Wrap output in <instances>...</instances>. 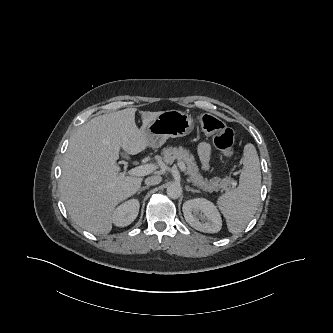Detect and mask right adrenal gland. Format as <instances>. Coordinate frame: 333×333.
Returning a JSON list of instances; mask_svg holds the SVG:
<instances>
[{
  "mask_svg": "<svg viewBox=\"0 0 333 333\" xmlns=\"http://www.w3.org/2000/svg\"><path fill=\"white\" fill-rule=\"evenodd\" d=\"M149 187H150V186H144V187H141V188L138 190L137 194H140L142 191L148 189Z\"/></svg>",
  "mask_w": 333,
  "mask_h": 333,
  "instance_id": "1",
  "label": "right adrenal gland"
}]
</instances>
